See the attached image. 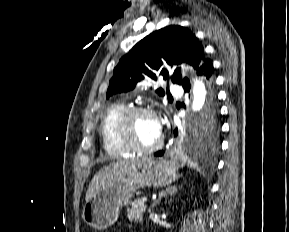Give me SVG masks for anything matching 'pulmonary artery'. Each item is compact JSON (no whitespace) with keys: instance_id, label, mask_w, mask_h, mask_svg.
I'll return each instance as SVG.
<instances>
[{"instance_id":"1","label":"pulmonary artery","mask_w":289,"mask_h":232,"mask_svg":"<svg viewBox=\"0 0 289 232\" xmlns=\"http://www.w3.org/2000/svg\"><path fill=\"white\" fill-rule=\"evenodd\" d=\"M170 91L174 95H180L182 93V88L178 84H172L170 87Z\"/></svg>"}]
</instances>
